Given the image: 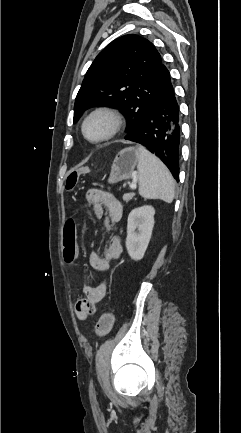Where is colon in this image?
<instances>
[{
    "instance_id": "5ec220e1",
    "label": "colon",
    "mask_w": 241,
    "mask_h": 433,
    "mask_svg": "<svg viewBox=\"0 0 241 433\" xmlns=\"http://www.w3.org/2000/svg\"><path fill=\"white\" fill-rule=\"evenodd\" d=\"M88 169L87 168H72L70 172H67L66 177L63 179V187L65 190H74L76 186H79L80 179L79 177H87ZM64 236H63V245H64V259L67 263H72L77 253L76 251L79 249L78 241H79V232L77 231V219L76 217H67L64 223ZM114 323V314L107 310L100 317L96 329L95 334L97 337L102 338L105 337L111 330Z\"/></svg>"
}]
</instances>
